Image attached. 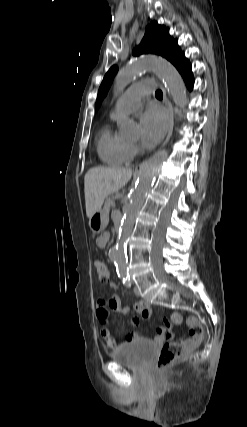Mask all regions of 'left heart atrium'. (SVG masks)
I'll list each match as a JSON object with an SVG mask.
<instances>
[{"label": "left heart atrium", "mask_w": 247, "mask_h": 427, "mask_svg": "<svg viewBox=\"0 0 247 427\" xmlns=\"http://www.w3.org/2000/svg\"><path fill=\"white\" fill-rule=\"evenodd\" d=\"M168 127V117L163 109L151 106L140 117L141 142L151 147L164 136Z\"/></svg>", "instance_id": "39dd6f15"}]
</instances>
